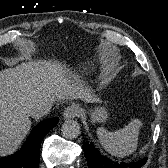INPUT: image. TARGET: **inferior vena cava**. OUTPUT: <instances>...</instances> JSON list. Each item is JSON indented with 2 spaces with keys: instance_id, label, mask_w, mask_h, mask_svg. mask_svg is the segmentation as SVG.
<instances>
[{
  "instance_id": "obj_1",
  "label": "inferior vena cava",
  "mask_w": 168,
  "mask_h": 168,
  "mask_svg": "<svg viewBox=\"0 0 168 168\" xmlns=\"http://www.w3.org/2000/svg\"><path fill=\"white\" fill-rule=\"evenodd\" d=\"M52 107V101L40 102L30 110L29 115L32 118H39L49 113Z\"/></svg>"
}]
</instances>
